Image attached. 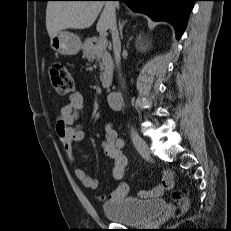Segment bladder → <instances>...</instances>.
<instances>
[{
  "label": "bladder",
  "mask_w": 231,
  "mask_h": 231,
  "mask_svg": "<svg viewBox=\"0 0 231 231\" xmlns=\"http://www.w3.org/2000/svg\"><path fill=\"white\" fill-rule=\"evenodd\" d=\"M165 208L166 203L162 199L143 201L134 197H127L121 201L104 204L102 211L116 223L143 226L157 219Z\"/></svg>",
  "instance_id": "obj_1"
}]
</instances>
